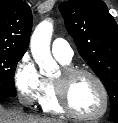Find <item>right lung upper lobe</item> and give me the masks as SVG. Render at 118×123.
<instances>
[{"label":"right lung upper lobe","mask_w":118,"mask_h":123,"mask_svg":"<svg viewBox=\"0 0 118 123\" xmlns=\"http://www.w3.org/2000/svg\"><path fill=\"white\" fill-rule=\"evenodd\" d=\"M31 29L32 12L23 0H0V51L24 55Z\"/></svg>","instance_id":"obj_1"}]
</instances>
